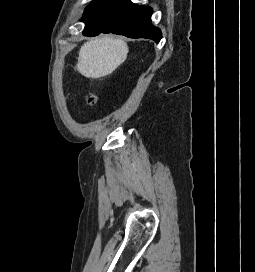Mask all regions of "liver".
Listing matches in <instances>:
<instances>
[{
  "mask_svg": "<svg viewBox=\"0 0 255 272\" xmlns=\"http://www.w3.org/2000/svg\"><path fill=\"white\" fill-rule=\"evenodd\" d=\"M128 51L124 40L111 35H100L80 48L77 70L87 78L105 77L126 60Z\"/></svg>",
  "mask_w": 255,
  "mask_h": 272,
  "instance_id": "6515ba94",
  "label": "liver"
}]
</instances>
